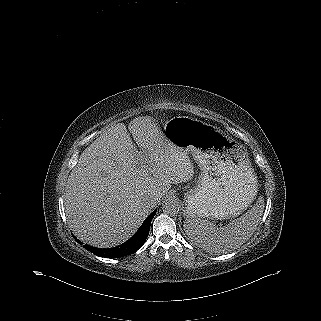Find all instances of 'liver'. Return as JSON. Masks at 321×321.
Returning a JSON list of instances; mask_svg holds the SVG:
<instances>
[{"label":"liver","instance_id":"obj_1","mask_svg":"<svg viewBox=\"0 0 321 321\" xmlns=\"http://www.w3.org/2000/svg\"><path fill=\"white\" fill-rule=\"evenodd\" d=\"M111 126L80 155L64 193L70 229L100 248L129 239L159 204L171 184L192 179L185 152L166 140L153 117H137L128 126ZM153 198V204L147 200Z\"/></svg>","mask_w":321,"mask_h":321}]
</instances>
